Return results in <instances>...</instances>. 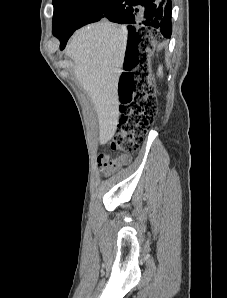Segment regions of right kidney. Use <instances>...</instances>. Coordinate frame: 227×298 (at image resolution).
Masks as SVG:
<instances>
[{"label": "right kidney", "instance_id": "ca27d5eb", "mask_svg": "<svg viewBox=\"0 0 227 298\" xmlns=\"http://www.w3.org/2000/svg\"><path fill=\"white\" fill-rule=\"evenodd\" d=\"M158 72H159L158 73L159 75H162V67L161 66L159 67Z\"/></svg>", "mask_w": 227, "mask_h": 298}]
</instances>
